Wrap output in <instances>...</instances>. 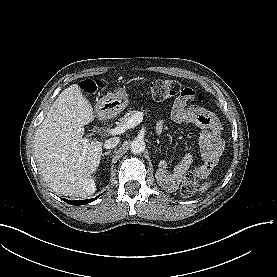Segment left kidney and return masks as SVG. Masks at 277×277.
<instances>
[{
	"mask_svg": "<svg viewBox=\"0 0 277 277\" xmlns=\"http://www.w3.org/2000/svg\"><path fill=\"white\" fill-rule=\"evenodd\" d=\"M167 163L163 160L160 161L158 165V170L156 172V178L162 184V186L166 188H174L176 185L177 178H181L180 174H168L166 173L167 170Z\"/></svg>",
	"mask_w": 277,
	"mask_h": 277,
	"instance_id": "5707ae66",
	"label": "left kidney"
}]
</instances>
